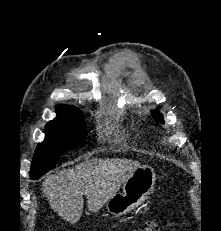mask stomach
<instances>
[{
  "instance_id": "1",
  "label": "stomach",
  "mask_w": 221,
  "mask_h": 231,
  "mask_svg": "<svg viewBox=\"0 0 221 231\" xmlns=\"http://www.w3.org/2000/svg\"><path fill=\"white\" fill-rule=\"evenodd\" d=\"M155 171L150 166H140L123 184L122 192H117L107 202L110 214L119 217L142 204L154 189Z\"/></svg>"
}]
</instances>
